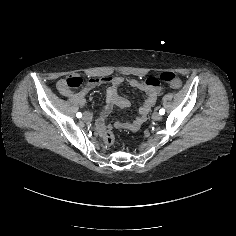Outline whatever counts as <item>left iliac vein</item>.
Segmentation results:
<instances>
[{"mask_svg":"<svg viewBox=\"0 0 236 236\" xmlns=\"http://www.w3.org/2000/svg\"><path fill=\"white\" fill-rule=\"evenodd\" d=\"M152 119H153V120H160V119H161V114L158 113V112H154V113L152 114Z\"/></svg>","mask_w":236,"mask_h":236,"instance_id":"left-iliac-vein-1","label":"left iliac vein"}]
</instances>
